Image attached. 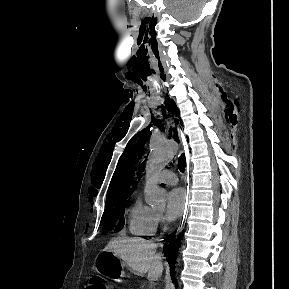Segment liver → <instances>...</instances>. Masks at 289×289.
Segmentation results:
<instances>
[{"label":"liver","mask_w":289,"mask_h":289,"mask_svg":"<svg viewBox=\"0 0 289 289\" xmlns=\"http://www.w3.org/2000/svg\"><path fill=\"white\" fill-rule=\"evenodd\" d=\"M156 246L140 238H116L108 243L104 251L114 252L137 275L148 273V279L155 281L163 272V264Z\"/></svg>","instance_id":"obj_1"}]
</instances>
